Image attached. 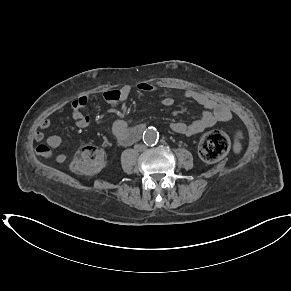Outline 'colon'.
<instances>
[{
    "instance_id": "1",
    "label": "colon",
    "mask_w": 291,
    "mask_h": 291,
    "mask_svg": "<svg viewBox=\"0 0 291 291\" xmlns=\"http://www.w3.org/2000/svg\"><path fill=\"white\" fill-rule=\"evenodd\" d=\"M230 141L228 136L219 130L207 133L202 139L199 152L201 157L207 162L220 160L228 151ZM45 152L46 148L39 147ZM104 163L103 151L94 145H87L78 150L70 163V168L78 174H91L97 171Z\"/></svg>"
}]
</instances>
